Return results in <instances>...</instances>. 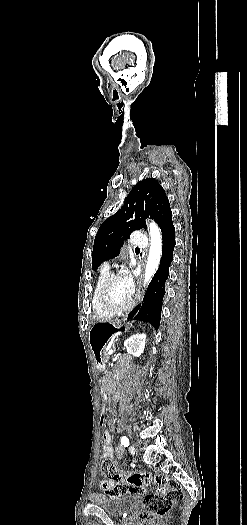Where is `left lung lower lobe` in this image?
<instances>
[{
    "label": "left lung lower lobe",
    "instance_id": "left-lung-lower-lobe-1",
    "mask_svg": "<svg viewBox=\"0 0 247 525\" xmlns=\"http://www.w3.org/2000/svg\"><path fill=\"white\" fill-rule=\"evenodd\" d=\"M162 232L163 248L160 266L155 273L143 299V304L138 306L129 318L141 320L159 328L161 320L162 300L165 294V282L169 275V266L173 260L175 247V228L172 222V214L160 224Z\"/></svg>",
    "mask_w": 247,
    "mask_h": 525
}]
</instances>
